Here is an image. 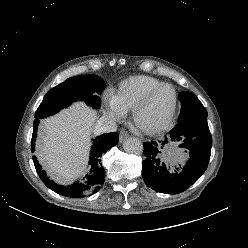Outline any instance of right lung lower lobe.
I'll return each mask as SVG.
<instances>
[{"label":"right lung lower lobe","mask_w":248,"mask_h":248,"mask_svg":"<svg viewBox=\"0 0 248 248\" xmlns=\"http://www.w3.org/2000/svg\"><path fill=\"white\" fill-rule=\"evenodd\" d=\"M38 123L39 119H36L33 124V135L31 144L32 152H34L35 150L34 146ZM118 141L119 137L117 133L102 134L101 136L93 139V146L90 152L89 171L85 175L84 181L82 183H79L77 181L73 185L67 187L57 185L52 180H50L47 177L45 171L41 169L36 156H33L32 158L39 177L48 188L63 196L82 198L86 195L96 193L101 188L105 178V170L100 163L101 156L111 147L115 146Z\"/></svg>","instance_id":"98d812e1"}]
</instances>
